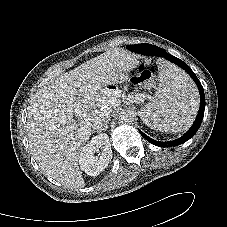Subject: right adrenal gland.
<instances>
[{
  "instance_id": "right-adrenal-gland-1",
  "label": "right adrenal gland",
  "mask_w": 227,
  "mask_h": 227,
  "mask_svg": "<svg viewBox=\"0 0 227 227\" xmlns=\"http://www.w3.org/2000/svg\"><path fill=\"white\" fill-rule=\"evenodd\" d=\"M107 127H108V125H106V126L104 127V130H105V131H106Z\"/></svg>"
}]
</instances>
